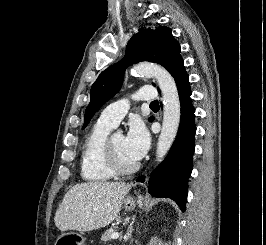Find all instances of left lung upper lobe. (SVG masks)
Instances as JSON below:
<instances>
[{"mask_svg": "<svg viewBox=\"0 0 266 245\" xmlns=\"http://www.w3.org/2000/svg\"><path fill=\"white\" fill-rule=\"evenodd\" d=\"M181 59L180 45L170 28L139 29L128 42L125 57L104 70L92 85L91 100L85 111L82 128H85L94 113L118 92L127 66L140 61H150L164 66L171 73Z\"/></svg>", "mask_w": 266, "mask_h": 245, "instance_id": "left-lung-upper-lobe-1", "label": "left lung upper lobe"}]
</instances>
